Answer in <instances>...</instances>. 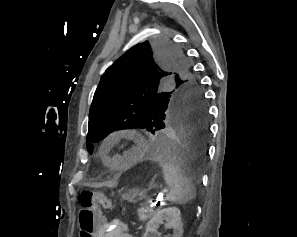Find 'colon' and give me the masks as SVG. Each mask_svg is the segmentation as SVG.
<instances>
[{
    "label": "colon",
    "instance_id": "colon-1",
    "mask_svg": "<svg viewBox=\"0 0 297 237\" xmlns=\"http://www.w3.org/2000/svg\"><path fill=\"white\" fill-rule=\"evenodd\" d=\"M79 237H96L100 223V210L112 206L111 198L103 193L89 190L82 191L78 196Z\"/></svg>",
    "mask_w": 297,
    "mask_h": 237
}]
</instances>
